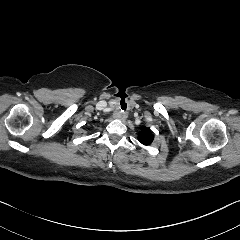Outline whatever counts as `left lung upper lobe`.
Masks as SVG:
<instances>
[{
    "instance_id": "5c2ea615",
    "label": "left lung upper lobe",
    "mask_w": 240,
    "mask_h": 240,
    "mask_svg": "<svg viewBox=\"0 0 240 240\" xmlns=\"http://www.w3.org/2000/svg\"><path fill=\"white\" fill-rule=\"evenodd\" d=\"M154 136L149 128L144 127L138 134V140L143 145H149L152 143Z\"/></svg>"
}]
</instances>
